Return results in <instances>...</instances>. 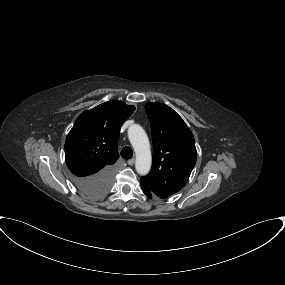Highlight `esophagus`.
Returning <instances> with one entry per match:
<instances>
[{
    "instance_id": "34e87169",
    "label": "esophagus",
    "mask_w": 285,
    "mask_h": 285,
    "mask_svg": "<svg viewBox=\"0 0 285 285\" xmlns=\"http://www.w3.org/2000/svg\"><path fill=\"white\" fill-rule=\"evenodd\" d=\"M134 162H135V159H134V158H132V159H130V160L127 161V163H128L129 165H131V166L134 164Z\"/></svg>"
}]
</instances>
